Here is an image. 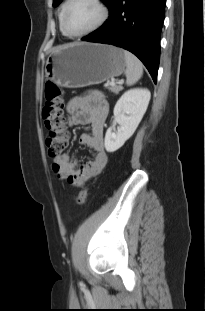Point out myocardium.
<instances>
[{"label": "myocardium", "mask_w": 205, "mask_h": 311, "mask_svg": "<svg viewBox=\"0 0 205 311\" xmlns=\"http://www.w3.org/2000/svg\"><path fill=\"white\" fill-rule=\"evenodd\" d=\"M92 3H94L98 9L100 10V17L97 20V22L90 27L89 29L81 32V33H77V34H73L70 33L66 27V15H67V11L69 8V5L73 2V0H65L64 6H63V11H62V20H61V27L62 30L64 32V34L70 38H81L84 37L86 35H89L93 32H95L96 30H98L99 28H101L104 23L107 21L108 17H109V9L106 6V4L104 3L103 0H90Z\"/></svg>", "instance_id": "myocardium-1"}]
</instances>
